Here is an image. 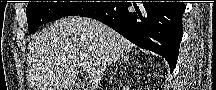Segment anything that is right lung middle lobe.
<instances>
[{"instance_id": "right-lung-middle-lobe-1", "label": "right lung middle lobe", "mask_w": 216, "mask_h": 90, "mask_svg": "<svg viewBox=\"0 0 216 90\" xmlns=\"http://www.w3.org/2000/svg\"><path fill=\"white\" fill-rule=\"evenodd\" d=\"M104 3L84 2H29L26 8L29 33H33L40 25L65 16L80 15L87 10Z\"/></svg>"}]
</instances>
